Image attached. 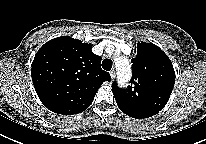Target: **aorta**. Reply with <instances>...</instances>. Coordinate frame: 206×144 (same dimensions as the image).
<instances>
[{"label": "aorta", "mask_w": 206, "mask_h": 144, "mask_svg": "<svg viewBox=\"0 0 206 144\" xmlns=\"http://www.w3.org/2000/svg\"><path fill=\"white\" fill-rule=\"evenodd\" d=\"M115 67L118 75V82L121 85L127 84L131 77L130 63L126 57L115 58Z\"/></svg>", "instance_id": "1"}]
</instances>
